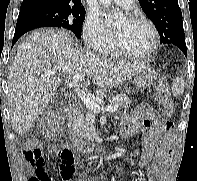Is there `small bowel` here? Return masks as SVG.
<instances>
[{"mask_svg":"<svg viewBox=\"0 0 197 181\" xmlns=\"http://www.w3.org/2000/svg\"><path fill=\"white\" fill-rule=\"evenodd\" d=\"M144 130L147 134L143 139L139 166L147 169L146 181H167L174 141L172 125L160 120L151 106L142 104L131 115L123 116L122 134L130 136ZM34 150L40 152L38 149L31 151ZM48 150L54 152L55 147L49 145ZM31 151L27 153V158L32 162L29 156Z\"/></svg>","mask_w":197,"mask_h":181,"instance_id":"c3829d8e","label":"small bowel"}]
</instances>
